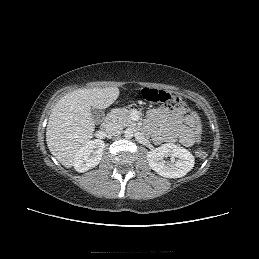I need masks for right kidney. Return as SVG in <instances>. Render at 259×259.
<instances>
[{
    "mask_svg": "<svg viewBox=\"0 0 259 259\" xmlns=\"http://www.w3.org/2000/svg\"><path fill=\"white\" fill-rule=\"evenodd\" d=\"M105 143L96 139L87 142L75 154L73 166L78 172H86L97 166L104 151Z\"/></svg>",
    "mask_w": 259,
    "mask_h": 259,
    "instance_id": "1",
    "label": "right kidney"
}]
</instances>
